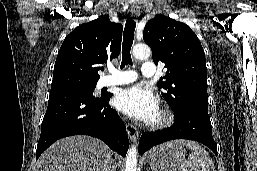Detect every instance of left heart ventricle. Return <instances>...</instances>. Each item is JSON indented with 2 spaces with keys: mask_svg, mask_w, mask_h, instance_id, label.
<instances>
[{
  "mask_svg": "<svg viewBox=\"0 0 257 171\" xmlns=\"http://www.w3.org/2000/svg\"><path fill=\"white\" fill-rule=\"evenodd\" d=\"M157 117H158V112L156 113V115L151 120H155Z\"/></svg>",
  "mask_w": 257,
  "mask_h": 171,
  "instance_id": "1",
  "label": "left heart ventricle"
}]
</instances>
